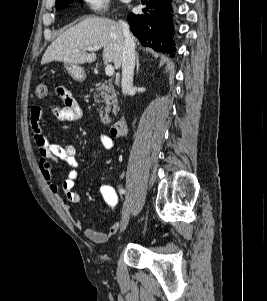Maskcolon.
<instances>
[{"mask_svg": "<svg viewBox=\"0 0 267 301\" xmlns=\"http://www.w3.org/2000/svg\"><path fill=\"white\" fill-rule=\"evenodd\" d=\"M38 98H45L48 94V86L45 83H40L35 89ZM98 193L105 207L112 213L118 211L119 200L115 189L109 184H101L98 187Z\"/></svg>", "mask_w": 267, "mask_h": 301, "instance_id": "5ec220e1", "label": "colon"}]
</instances>
